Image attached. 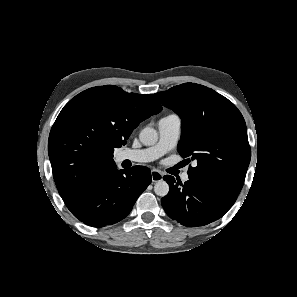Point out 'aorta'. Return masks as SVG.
I'll list each match as a JSON object with an SVG mask.
<instances>
[{
  "label": "aorta",
  "instance_id": "1",
  "mask_svg": "<svg viewBox=\"0 0 297 297\" xmlns=\"http://www.w3.org/2000/svg\"><path fill=\"white\" fill-rule=\"evenodd\" d=\"M140 141L145 146L154 145L158 141V133L154 128H144L139 134ZM154 192L160 197H164L169 192V185L164 180H159L154 185Z\"/></svg>",
  "mask_w": 297,
  "mask_h": 297
}]
</instances>
